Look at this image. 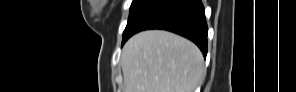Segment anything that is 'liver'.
<instances>
[{
	"label": "liver",
	"mask_w": 296,
	"mask_h": 92,
	"mask_svg": "<svg viewBox=\"0 0 296 92\" xmlns=\"http://www.w3.org/2000/svg\"><path fill=\"white\" fill-rule=\"evenodd\" d=\"M124 92H194L204 75V58L191 41L149 30L132 36L122 49Z\"/></svg>",
	"instance_id": "obj_1"
}]
</instances>
